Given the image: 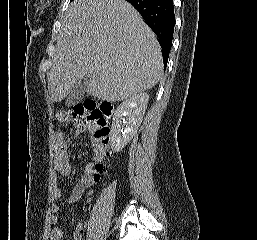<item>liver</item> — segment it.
<instances>
[{"mask_svg": "<svg viewBox=\"0 0 257 240\" xmlns=\"http://www.w3.org/2000/svg\"><path fill=\"white\" fill-rule=\"evenodd\" d=\"M47 74L54 102L88 76L89 95L121 101L154 87L163 75L153 31L125 0H74L64 13Z\"/></svg>", "mask_w": 257, "mask_h": 240, "instance_id": "obj_1", "label": "liver"}]
</instances>
